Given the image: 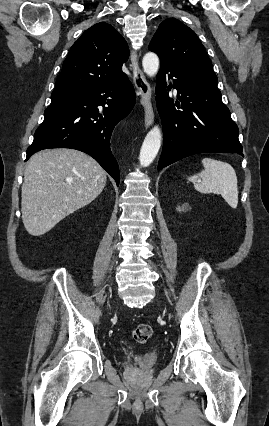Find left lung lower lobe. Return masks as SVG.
<instances>
[{
  "label": "left lung lower lobe",
  "instance_id": "1",
  "mask_svg": "<svg viewBox=\"0 0 269 426\" xmlns=\"http://www.w3.org/2000/svg\"><path fill=\"white\" fill-rule=\"evenodd\" d=\"M166 74L174 78L179 99L176 103L166 91ZM156 94L164 134L158 170L197 153L228 152L244 156L238 127L222 102L217 79L162 63Z\"/></svg>",
  "mask_w": 269,
  "mask_h": 426
}]
</instances>
